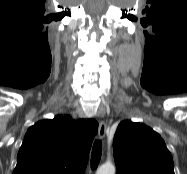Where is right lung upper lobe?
<instances>
[{"label": "right lung upper lobe", "mask_w": 187, "mask_h": 174, "mask_svg": "<svg viewBox=\"0 0 187 174\" xmlns=\"http://www.w3.org/2000/svg\"><path fill=\"white\" fill-rule=\"evenodd\" d=\"M97 128L96 121L67 115L37 122L25 134L13 174H84Z\"/></svg>", "instance_id": "right-lung-upper-lobe-1"}]
</instances>
